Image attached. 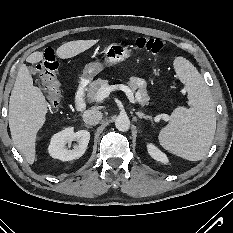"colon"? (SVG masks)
<instances>
[{"label": "colon", "instance_id": "colon-1", "mask_svg": "<svg viewBox=\"0 0 233 233\" xmlns=\"http://www.w3.org/2000/svg\"><path fill=\"white\" fill-rule=\"evenodd\" d=\"M135 46L145 52L158 54L163 48V43L159 39L139 37L135 41ZM57 68L58 63L54 51L51 48L45 49L42 60L37 64V69L43 81L47 102L52 108L58 106L61 96Z\"/></svg>", "mask_w": 233, "mask_h": 233}]
</instances>
